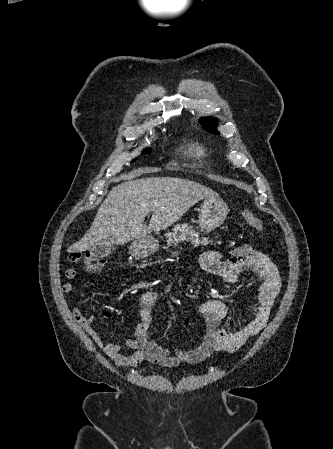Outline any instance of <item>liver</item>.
<instances>
[{"label":"liver","instance_id":"1","mask_svg":"<svg viewBox=\"0 0 333 449\" xmlns=\"http://www.w3.org/2000/svg\"><path fill=\"white\" fill-rule=\"evenodd\" d=\"M216 197L217 192L188 179L152 177L125 181L109 192L88 232L68 252L145 238L152 230L171 226L200 200ZM149 212L152 217L146 226L144 220Z\"/></svg>","mask_w":333,"mask_h":449}]
</instances>
